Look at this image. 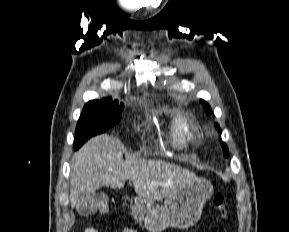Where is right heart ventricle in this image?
I'll list each match as a JSON object with an SVG mask.
<instances>
[{"mask_svg": "<svg viewBox=\"0 0 289 232\" xmlns=\"http://www.w3.org/2000/svg\"><path fill=\"white\" fill-rule=\"evenodd\" d=\"M196 134V127L190 118L182 112H176L166 124L164 138L171 147L184 150L194 143Z\"/></svg>", "mask_w": 289, "mask_h": 232, "instance_id": "1", "label": "right heart ventricle"}]
</instances>
